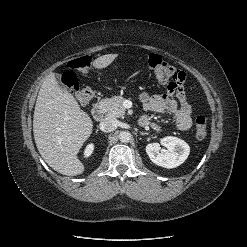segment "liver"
<instances>
[{
  "mask_svg": "<svg viewBox=\"0 0 247 247\" xmlns=\"http://www.w3.org/2000/svg\"><path fill=\"white\" fill-rule=\"evenodd\" d=\"M118 54H106L93 61V67H108ZM93 122L75 98L64 92L55 74H49L38 93L33 116L37 149L55 171L67 176L80 175L83 163L77 154L92 133Z\"/></svg>",
  "mask_w": 247,
  "mask_h": 247,
  "instance_id": "1",
  "label": "liver"
}]
</instances>
